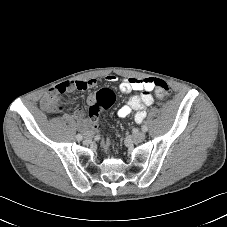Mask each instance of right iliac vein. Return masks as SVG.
Wrapping results in <instances>:
<instances>
[{"mask_svg": "<svg viewBox=\"0 0 227 227\" xmlns=\"http://www.w3.org/2000/svg\"><path fill=\"white\" fill-rule=\"evenodd\" d=\"M85 138L90 140L92 138V133L87 131L86 134H85Z\"/></svg>", "mask_w": 227, "mask_h": 227, "instance_id": "right-iliac-vein-1", "label": "right iliac vein"}]
</instances>
